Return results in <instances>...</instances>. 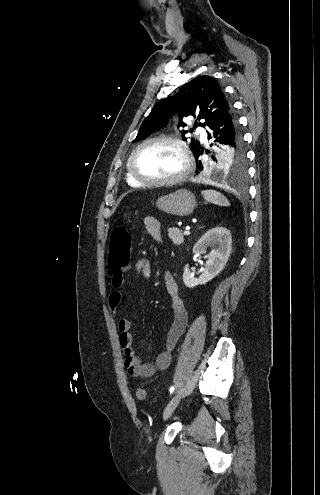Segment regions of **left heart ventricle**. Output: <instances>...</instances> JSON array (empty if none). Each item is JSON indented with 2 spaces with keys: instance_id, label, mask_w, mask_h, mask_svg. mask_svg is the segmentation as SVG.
<instances>
[{
  "instance_id": "1",
  "label": "left heart ventricle",
  "mask_w": 320,
  "mask_h": 495,
  "mask_svg": "<svg viewBox=\"0 0 320 495\" xmlns=\"http://www.w3.org/2000/svg\"><path fill=\"white\" fill-rule=\"evenodd\" d=\"M134 164L138 174L147 179L171 178L183 167L180 152L167 142L146 145L136 154Z\"/></svg>"
}]
</instances>
